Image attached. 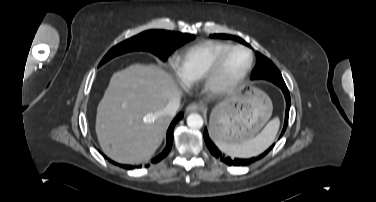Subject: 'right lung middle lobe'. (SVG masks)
<instances>
[{"label": "right lung middle lobe", "mask_w": 376, "mask_h": 202, "mask_svg": "<svg viewBox=\"0 0 376 202\" xmlns=\"http://www.w3.org/2000/svg\"><path fill=\"white\" fill-rule=\"evenodd\" d=\"M195 35L164 30H149L142 32L120 44L114 46L102 59L99 66L111 58L130 51H149L166 61L169 55L185 44L193 40Z\"/></svg>", "instance_id": "right-lung-middle-lobe-1"}]
</instances>
